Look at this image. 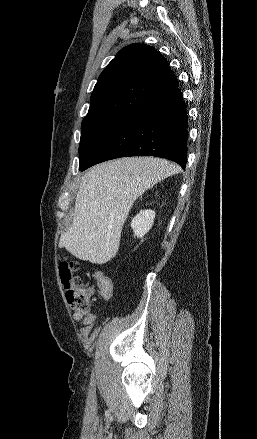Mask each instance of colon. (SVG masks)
<instances>
[{"mask_svg":"<svg viewBox=\"0 0 257 439\" xmlns=\"http://www.w3.org/2000/svg\"><path fill=\"white\" fill-rule=\"evenodd\" d=\"M79 265L69 257L60 260V277L66 289V298L69 305L78 313L85 315L88 312L89 294L92 288H87L79 275L76 274ZM96 290L102 296H107L112 291L111 280L103 273L96 274Z\"/></svg>","mask_w":257,"mask_h":439,"instance_id":"1","label":"colon"}]
</instances>
